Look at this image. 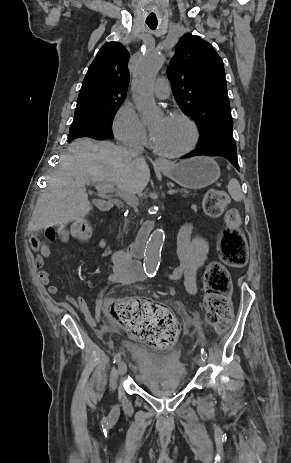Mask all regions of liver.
I'll list each match as a JSON object with an SVG mask.
<instances>
[{
    "label": "liver",
    "instance_id": "6515ba94",
    "mask_svg": "<svg viewBox=\"0 0 291 463\" xmlns=\"http://www.w3.org/2000/svg\"><path fill=\"white\" fill-rule=\"evenodd\" d=\"M150 180V169L141 156L108 141L87 138L73 141L60 158L57 171L49 177L47 189L36 202L29 228L64 227L85 217L92 205L86 184L109 182L128 194H139Z\"/></svg>",
    "mask_w": 291,
    "mask_h": 463
}]
</instances>
